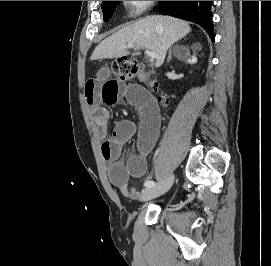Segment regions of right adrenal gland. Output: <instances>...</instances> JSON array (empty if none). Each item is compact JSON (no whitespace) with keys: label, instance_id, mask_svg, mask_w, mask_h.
<instances>
[{"label":"right adrenal gland","instance_id":"2a0ac1e0","mask_svg":"<svg viewBox=\"0 0 271 266\" xmlns=\"http://www.w3.org/2000/svg\"><path fill=\"white\" fill-rule=\"evenodd\" d=\"M177 46V45H176ZM171 60V50L169 51V55H168V59H167V62H170Z\"/></svg>","mask_w":271,"mask_h":266}]
</instances>
